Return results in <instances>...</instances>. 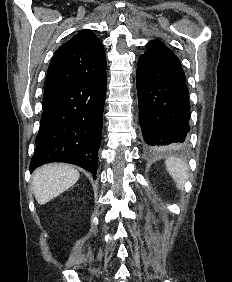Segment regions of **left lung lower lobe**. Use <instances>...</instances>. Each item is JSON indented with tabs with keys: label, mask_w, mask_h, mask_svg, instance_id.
Here are the masks:
<instances>
[{
	"label": "left lung lower lobe",
	"mask_w": 232,
	"mask_h": 282,
	"mask_svg": "<svg viewBox=\"0 0 232 282\" xmlns=\"http://www.w3.org/2000/svg\"><path fill=\"white\" fill-rule=\"evenodd\" d=\"M136 73L139 121L148 150L183 148L190 131L189 91L178 57L161 41L147 44Z\"/></svg>",
	"instance_id": "0a47b994"
}]
</instances>
